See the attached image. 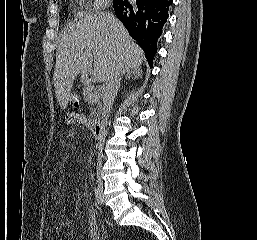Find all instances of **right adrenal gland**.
Returning <instances> with one entry per match:
<instances>
[{
    "instance_id": "right-adrenal-gland-1",
    "label": "right adrenal gland",
    "mask_w": 257,
    "mask_h": 240,
    "mask_svg": "<svg viewBox=\"0 0 257 240\" xmlns=\"http://www.w3.org/2000/svg\"><path fill=\"white\" fill-rule=\"evenodd\" d=\"M141 74H142L141 70L138 69V68H135V69L123 71L122 77H123V75H125V79L127 80V79H130L133 76L136 77L137 75H141Z\"/></svg>"
}]
</instances>
